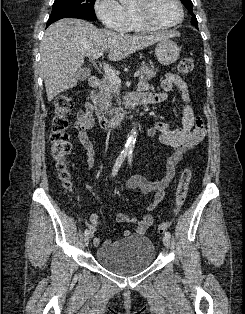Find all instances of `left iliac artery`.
<instances>
[{
    "mask_svg": "<svg viewBox=\"0 0 245 314\" xmlns=\"http://www.w3.org/2000/svg\"><path fill=\"white\" fill-rule=\"evenodd\" d=\"M131 162H132V155H128V163L131 165ZM165 236H167V237H171V234H170V232H165Z\"/></svg>",
    "mask_w": 245,
    "mask_h": 314,
    "instance_id": "left-iliac-artery-1",
    "label": "left iliac artery"
}]
</instances>
